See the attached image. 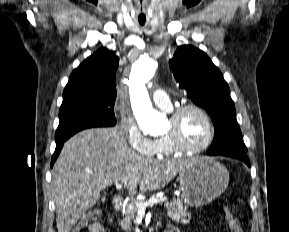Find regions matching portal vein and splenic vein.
<instances>
[{
    "mask_svg": "<svg viewBox=\"0 0 289 232\" xmlns=\"http://www.w3.org/2000/svg\"><path fill=\"white\" fill-rule=\"evenodd\" d=\"M122 183H116V189L117 190H121L122 189ZM133 199V197H132ZM168 199L167 197H159L156 199H151L149 201H142V200H135L133 199L134 203L137 205L138 207V211L140 212H145L146 207L148 206H153L155 204H162L164 202H166Z\"/></svg>",
    "mask_w": 289,
    "mask_h": 232,
    "instance_id": "1",
    "label": "portal vein and splenic vein"
}]
</instances>
